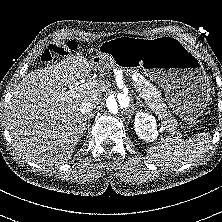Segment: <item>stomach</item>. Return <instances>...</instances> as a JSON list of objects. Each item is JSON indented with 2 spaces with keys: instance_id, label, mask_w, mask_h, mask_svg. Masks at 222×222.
Instances as JSON below:
<instances>
[{
  "instance_id": "1",
  "label": "stomach",
  "mask_w": 222,
  "mask_h": 222,
  "mask_svg": "<svg viewBox=\"0 0 222 222\" xmlns=\"http://www.w3.org/2000/svg\"><path fill=\"white\" fill-rule=\"evenodd\" d=\"M92 63L126 74L142 68L164 89L169 107L184 121L195 122L211 100V78L201 61L185 43L171 36H121L104 41Z\"/></svg>"
}]
</instances>
